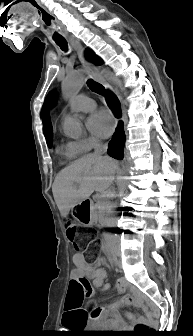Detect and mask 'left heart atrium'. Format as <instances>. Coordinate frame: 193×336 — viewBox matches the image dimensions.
Wrapping results in <instances>:
<instances>
[{"label":"left heart atrium","instance_id":"left-heart-atrium-1","mask_svg":"<svg viewBox=\"0 0 193 336\" xmlns=\"http://www.w3.org/2000/svg\"><path fill=\"white\" fill-rule=\"evenodd\" d=\"M87 128L95 136L107 138L114 128L113 117L108 111L99 110L88 118Z\"/></svg>","mask_w":193,"mask_h":336}]
</instances>
